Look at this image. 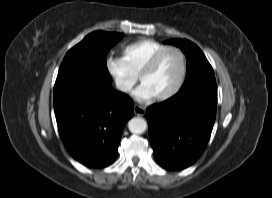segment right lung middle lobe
Returning <instances> with one entry per match:
<instances>
[{"label": "right lung middle lobe", "mask_w": 272, "mask_h": 198, "mask_svg": "<svg viewBox=\"0 0 272 198\" xmlns=\"http://www.w3.org/2000/svg\"><path fill=\"white\" fill-rule=\"evenodd\" d=\"M122 38L121 33L95 31L71 48L59 68L54 94L80 83L111 86L106 55Z\"/></svg>", "instance_id": "dd1d6c3e"}]
</instances>
